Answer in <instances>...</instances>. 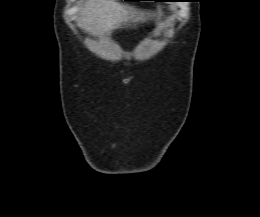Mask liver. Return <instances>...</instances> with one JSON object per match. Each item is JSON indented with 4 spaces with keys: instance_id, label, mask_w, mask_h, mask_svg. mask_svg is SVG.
Listing matches in <instances>:
<instances>
[{
    "instance_id": "obj_1",
    "label": "liver",
    "mask_w": 260,
    "mask_h": 217,
    "mask_svg": "<svg viewBox=\"0 0 260 217\" xmlns=\"http://www.w3.org/2000/svg\"><path fill=\"white\" fill-rule=\"evenodd\" d=\"M146 20L145 13L116 0H89L81 10L79 26L89 33L110 34L112 30Z\"/></svg>"
}]
</instances>
